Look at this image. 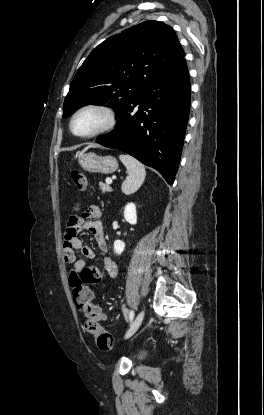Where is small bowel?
I'll return each mask as SVG.
<instances>
[{
  "label": "small bowel",
  "instance_id": "c3829d8e",
  "mask_svg": "<svg viewBox=\"0 0 264 415\" xmlns=\"http://www.w3.org/2000/svg\"><path fill=\"white\" fill-rule=\"evenodd\" d=\"M101 216L100 207L93 205L88 207L80 218H78L75 223V228L77 231L83 229L89 230L93 235L94 240L97 244V247L102 251H107V242L105 239L103 225L100 220H97ZM91 219V220H87ZM76 252H80L83 256L82 258H76ZM95 253L94 250L83 244V242L76 236V234H70L66 232L65 235V244L63 247V259L66 263L71 265V271L75 273H80L86 266V260L94 259ZM103 265L107 272V275L110 278H115L118 274V266L116 262L111 257L103 258ZM92 294V291L86 287ZM101 311V310H100ZM102 314V312H101ZM102 318L104 315L102 314Z\"/></svg>",
  "mask_w": 264,
  "mask_h": 415
}]
</instances>
